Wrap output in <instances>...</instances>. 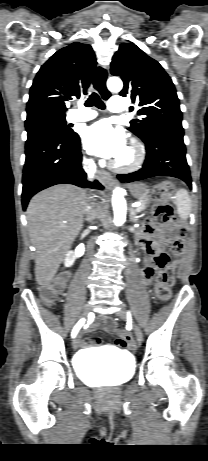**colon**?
<instances>
[{"mask_svg": "<svg viewBox=\"0 0 208 461\" xmlns=\"http://www.w3.org/2000/svg\"><path fill=\"white\" fill-rule=\"evenodd\" d=\"M172 185L165 182L156 186L153 189L152 196L157 201L153 208V215L157 222L163 225H176L177 229H183L181 223L176 219L174 209L169 202V193ZM182 248V242L179 238L172 242V249L179 251ZM154 264L157 268L161 269L158 273L155 282V294L161 301H168L171 298V286L174 282L175 268L169 264V257L166 253H161L154 258ZM65 284L63 280L53 281L41 288L42 297L46 302L55 301ZM129 336L127 334H120V346L126 348Z\"/></svg>", "mask_w": 208, "mask_h": 461, "instance_id": "1", "label": "colon"}]
</instances>
